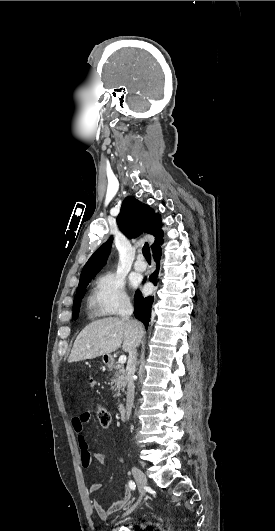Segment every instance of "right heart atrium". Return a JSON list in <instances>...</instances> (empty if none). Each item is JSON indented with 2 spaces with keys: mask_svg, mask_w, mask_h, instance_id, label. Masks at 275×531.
I'll use <instances>...</instances> for the list:
<instances>
[{
  "mask_svg": "<svg viewBox=\"0 0 275 531\" xmlns=\"http://www.w3.org/2000/svg\"><path fill=\"white\" fill-rule=\"evenodd\" d=\"M129 305L124 278L115 272H106L96 278L90 297V306L97 315L117 314Z\"/></svg>",
  "mask_w": 275,
  "mask_h": 531,
  "instance_id": "1",
  "label": "right heart atrium"
}]
</instances>
